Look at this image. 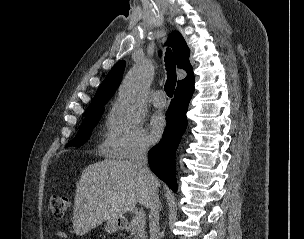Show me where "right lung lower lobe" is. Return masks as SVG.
<instances>
[{
  "label": "right lung lower lobe",
  "instance_id": "right-lung-lower-lobe-1",
  "mask_svg": "<svg viewBox=\"0 0 304 239\" xmlns=\"http://www.w3.org/2000/svg\"><path fill=\"white\" fill-rule=\"evenodd\" d=\"M193 92L194 77L178 85L166 113L163 137L148 153L151 170L173 191H177L175 153L187 127L186 112Z\"/></svg>",
  "mask_w": 304,
  "mask_h": 239
}]
</instances>
